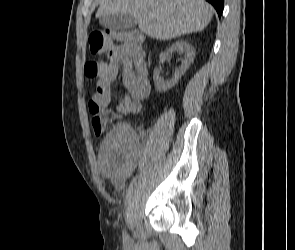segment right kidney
<instances>
[{
    "label": "right kidney",
    "mask_w": 295,
    "mask_h": 250,
    "mask_svg": "<svg viewBox=\"0 0 295 250\" xmlns=\"http://www.w3.org/2000/svg\"><path fill=\"white\" fill-rule=\"evenodd\" d=\"M178 52L185 54V59L182 60L181 66L174 72V76L170 80H164L160 76V69H155L153 72V79L155 87L159 92H166L171 89L179 81L182 75L185 74L190 64L195 58V49L186 41H177L173 43L169 48L160 54L159 63H164L166 59L172 55V53Z\"/></svg>",
    "instance_id": "obj_1"
}]
</instances>
